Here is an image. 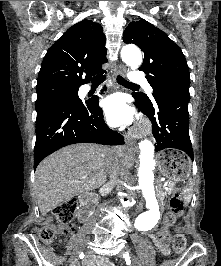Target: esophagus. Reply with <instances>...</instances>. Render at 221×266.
Wrapping results in <instances>:
<instances>
[{"mask_svg": "<svg viewBox=\"0 0 221 266\" xmlns=\"http://www.w3.org/2000/svg\"><path fill=\"white\" fill-rule=\"evenodd\" d=\"M119 75H122L124 76L126 74V68L124 66H120L119 69H118V72H117ZM126 143L129 145V146H134L135 145V141L132 140L131 138L127 137L126 136Z\"/></svg>", "mask_w": 221, "mask_h": 266, "instance_id": "34e87169", "label": "esophagus"}]
</instances>
